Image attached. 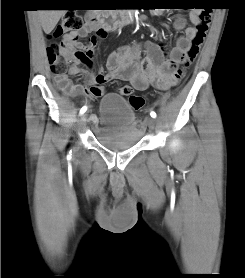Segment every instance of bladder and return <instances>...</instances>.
<instances>
[{"label": "bladder", "instance_id": "31cf9c89", "mask_svg": "<svg viewBox=\"0 0 245 278\" xmlns=\"http://www.w3.org/2000/svg\"><path fill=\"white\" fill-rule=\"evenodd\" d=\"M100 124L97 139L111 150L136 146L143 135L138 127L133 106L117 93L105 94L99 107Z\"/></svg>", "mask_w": 245, "mask_h": 278}]
</instances>
